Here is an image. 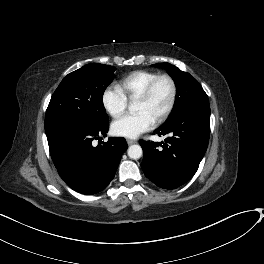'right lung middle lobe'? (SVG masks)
<instances>
[{
  "instance_id": "1",
  "label": "right lung middle lobe",
  "mask_w": 264,
  "mask_h": 264,
  "mask_svg": "<svg viewBox=\"0 0 264 264\" xmlns=\"http://www.w3.org/2000/svg\"><path fill=\"white\" fill-rule=\"evenodd\" d=\"M115 68L91 63L69 73L53 93L45 116V130L67 125L97 127L108 122L103 94Z\"/></svg>"
}]
</instances>
